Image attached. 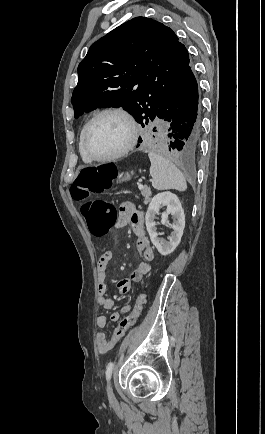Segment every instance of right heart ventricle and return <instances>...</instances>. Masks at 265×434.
Instances as JSON below:
<instances>
[{"label": "right heart ventricle", "instance_id": "right-heart-ventricle-1", "mask_svg": "<svg viewBox=\"0 0 265 434\" xmlns=\"http://www.w3.org/2000/svg\"><path fill=\"white\" fill-rule=\"evenodd\" d=\"M85 127H86V124L81 128V131H80V133H79V137H78V141H77V151H78V155H79L80 161H81L83 164H85V165H91L93 162H91L90 160H88V159H87V158L82 154V151H81V137H82L83 134H84Z\"/></svg>", "mask_w": 265, "mask_h": 434}]
</instances>
